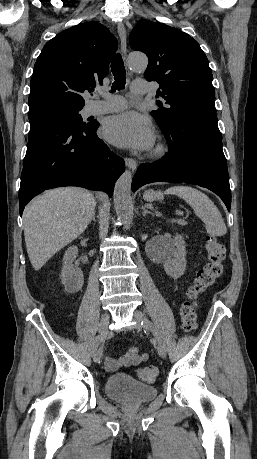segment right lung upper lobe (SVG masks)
<instances>
[{
    "mask_svg": "<svg viewBox=\"0 0 257 459\" xmlns=\"http://www.w3.org/2000/svg\"><path fill=\"white\" fill-rule=\"evenodd\" d=\"M117 45L106 27L92 22L66 29L48 41L31 78L30 112L83 107L82 94L102 84Z\"/></svg>",
    "mask_w": 257,
    "mask_h": 459,
    "instance_id": "1",
    "label": "right lung upper lobe"
}]
</instances>
